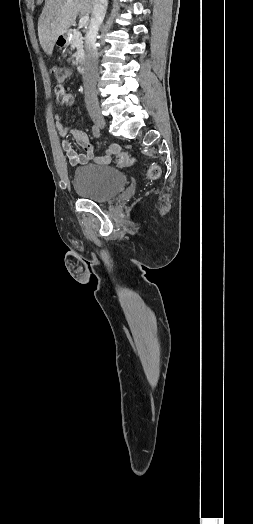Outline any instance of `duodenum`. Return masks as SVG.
<instances>
[{"mask_svg": "<svg viewBox=\"0 0 253 524\" xmlns=\"http://www.w3.org/2000/svg\"><path fill=\"white\" fill-rule=\"evenodd\" d=\"M76 69L79 73L85 72V60L83 58L80 57L76 60Z\"/></svg>", "mask_w": 253, "mask_h": 524, "instance_id": "duodenum-1", "label": "duodenum"}]
</instances>
